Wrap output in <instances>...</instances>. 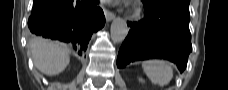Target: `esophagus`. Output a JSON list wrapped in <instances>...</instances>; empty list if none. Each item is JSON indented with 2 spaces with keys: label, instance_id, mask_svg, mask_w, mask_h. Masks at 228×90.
Returning a JSON list of instances; mask_svg holds the SVG:
<instances>
[{
  "label": "esophagus",
  "instance_id": "obj_1",
  "mask_svg": "<svg viewBox=\"0 0 228 90\" xmlns=\"http://www.w3.org/2000/svg\"><path fill=\"white\" fill-rule=\"evenodd\" d=\"M103 11L107 22H110L115 18V14L109 11L108 9H106L105 7L103 8Z\"/></svg>",
  "mask_w": 228,
  "mask_h": 90
}]
</instances>
